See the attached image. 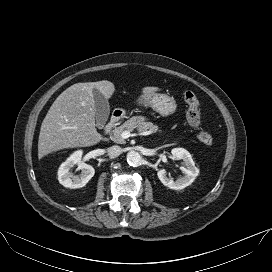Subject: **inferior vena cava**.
<instances>
[{"instance_id":"1","label":"inferior vena cava","mask_w":272,"mask_h":272,"mask_svg":"<svg viewBox=\"0 0 272 272\" xmlns=\"http://www.w3.org/2000/svg\"><path fill=\"white\" fill-rule=\"evenodd\" d=\"M121 153H122V150L119 146H112V147L108 148V155L111 158L118 157Z\"/></svg>"}]
</instances>
